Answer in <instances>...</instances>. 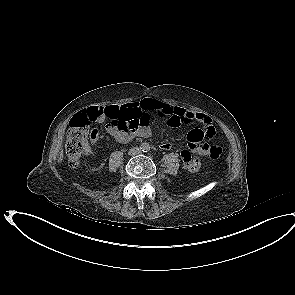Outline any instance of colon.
Wrapping results in <instances>:
<instances>
[{"label":"colon","instance_id":"5ec220e1","mask_svg":"<svg viewBox=\"0 0 295 295\" xmlns=\"http://www.w3.org/2000/svg\"><path fill=\"white\" fill-rule=\"evenodd\" d=\"M105 116L109 120H115L116 125L121 129L133 130L139 126L136 120H130L126 117H118V113L114 110L106 111ZM91 122L86 116H76L70 123L66 136L65 151L71 167L76 168L80 164V160L87 149L88 140L95 131L91 126ZM222 149L211 144L209 147V156L213 160L221 157Z\"/></svg>","mask_w":295,"mask_h":295}]
</instances>
